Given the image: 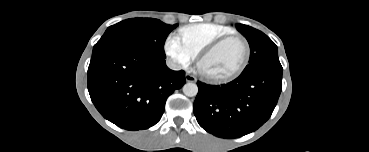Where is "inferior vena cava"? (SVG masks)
<instances>
[{"label":"inferior vena cava","instance_id":"1","mask_svg":"<svg viewBox=\"0 0 369 152\" xmlns=\"http://www.w3.org/2000/svg\"><path fill=\"white\" fill-rule=\"evenodd\" d=\"M166 64L170 69L175 70V71L182 69V65L173 59H167Z\"/></svg>","mask_w":369,"mask_h":152}]
</instances>
